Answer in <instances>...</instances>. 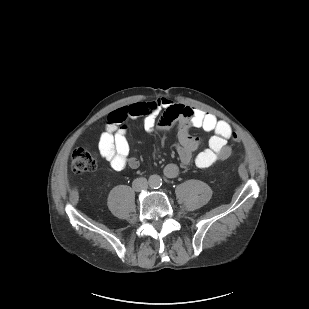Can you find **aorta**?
<instances>
[{
    "label": "aorta",
    "instance_id": "obj_1",
    "mask_svg": "<svg viewBox=\"0 0 309 309\" xmlns=\"http://www.w3.org/2000/svg\"><path fill=\"white\" fill-rule=\"evenodd\" d=\"M149 186L152 188H158L162 184V179L159 175H151L148 180Z\"/></svg>",
    "mask_w": 309,
    "mask_h": 309
}]
</instances>
